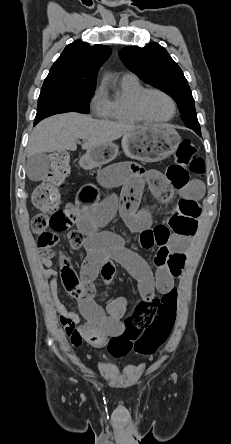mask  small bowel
<instances>
[{"instance_id": "c3829d8e", "label": "small bowel", "mask_w": 231, "mask_h": 444, "mask_svg": "<svg viewBox=\"0 0 231 444\" xmlns=\"http://www.w3.org/2000/svg\"><path fill=\"white\" fill-rule=\"evenodd\" d=\"M97 181L105 188L121 186V194L110 195L100 200L97 187L88 184L80 189L76 202L66 206L76 224V229L68 234L69 245L74 249L84 248L87 252L80 271V314L69 310L59 298L58 273L52 267V254L47 249H43L40 254V263L45 267L44 277L49 284L52 305L74 346L86 341L94 347H103L108 338L120 335L125 329L124 319L128 312L125 299L116 298L110 301L106 308L94 299L93 282L99 274L105 283L109 284L115 272V264H120L138 281V291L142 300L149 301L155 292L165 294L173 290L174 280L182 272L189 237L172 232L159 237L155 230L150 228V213L138 208L145 185L147 184L153 195L162 201H169L173 192L177 191L182 199L197 203L204 192L200 181H191L185 188H177L158 172L147 171L130 162L104 167L97 174ZM117 212L131 229L140 234L139 240L143 249L157 247L154 271L140 255L126 247L122 236L100 230V227ZM52 236L55 239V234Z\"/></svg>"}]
</instances>
